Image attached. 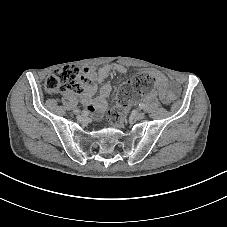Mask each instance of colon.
<instances>
[{
    "instance_id": "obj_1",
    "label": "colon",
    "mask_w": 227,
    "mask_h": 227,
    "mask_svg": "<svg viewBox=\"0 0 227 227\" xmlns=\"http://www.w3.org/2000/svg\"><path fill=\"white\" fill-rule=\"evenodd\" d=\"M154 85L153 78L147 73H140L130 81L124 83L118 92V106L112 110L111 116L120 122L123 119L127 106L138 100L146 91ZM45 90L50 94H55L64 90H71L76 93L83 91V83L80 71L73 66H65L47 77Z\"/></svg>"
}]
</instances>
